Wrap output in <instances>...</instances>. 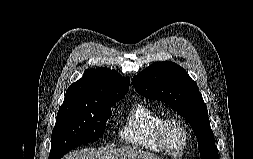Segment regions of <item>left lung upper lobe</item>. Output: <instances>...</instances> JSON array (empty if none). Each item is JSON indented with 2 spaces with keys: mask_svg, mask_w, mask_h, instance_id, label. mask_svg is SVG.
<instances>
[{
  "mask_svg": "<svg viewBox=\"0 0 253 159\" xmlns=\"http://www.w3.org/2000/svg\"><path fill=\"white\" fill-rule=\"evenodd\" d=\"M132 83L140 95L165 102L186 118L196 134L201 159H219L206 104L196 82L181 66L153 63L133 77Z\"/></svg>",
  "mask_w": 253,
  "mask_h": 159,
  "instance_id": "left-lung-upper-lobe-1",
  "label": "left lung upper lobe"
}]
</instances>
